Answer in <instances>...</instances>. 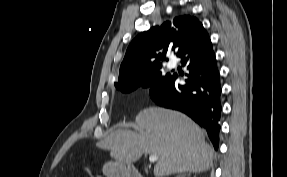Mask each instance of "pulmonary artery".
<instances>
[{
  "mask_svg": "<svg viewBox=\"0 0 287 177\" xmlns=\"http://www.w3.org/2000/svg\"><path fill=\"white\" fill-rule=\"evenodd\" d=\"M169 68H174L176 66V63L175 62H169L168 64Z\"/></svg>",
  "mask_w": 287,
  "mask_h": 177,
  "instance_id": "pulmonary-artery-1",
  "label": "pulmonary artery"
}]
</instances>
